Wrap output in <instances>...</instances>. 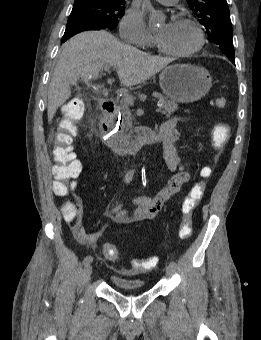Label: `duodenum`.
<instances>
[{"label":"duodenum","instance_id":"410a0bca","mask_svg":"<svg viewBox=\"0 0 261 340\" xmlns=\"http://www.w3.org/2000/svg\"><path fill=\"white\" fill-rule=\"evenodd\" d=\"M102 117L99 131L103 143L117 155L135 154L143 145H151L161 140L158 132L151 128L138 127L126 136H118L114 133V116L116 102L112 99H103L100 103Z\"/></svg>","mask_w":261,"mask_h":340}]
</instances>
